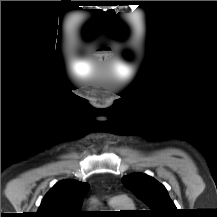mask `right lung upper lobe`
I'll return each mask as SVG.
<instances>
[{"label":"right lung upper lobe","mask_w":217,"mask_h":217,"mask_svg":"<svg viewBox=\"0 0 217 217\" xmlns=\"http://www.w3.org/2000/svg\"><path fill=\"white\" fill-rule=\"evenodd\" d=\"M89 184L76 180H61L45 195L34 217H84L81 211Z\"/></svg>","instance_id":"cb5924a9"}]
</instances>
